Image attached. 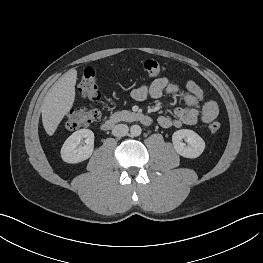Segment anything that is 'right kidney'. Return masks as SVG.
<instances>
[{"mask_svg": "<svg viewBox=\"0 0 263 263\" xmlns=\"http://www.w3.org/2000/svg\"><path fill=\"white\" fill-rule=\"evenodd\" d=\"M85 139L84 146H79ZM94 149V133L89 129H80L70 135L61 148V157L67 163H79L88 159Z\"/></svg>", "mask_w": 263, "mask_h": 263, "instance_id": "ca27d5eb", "label": "right kidney"}]
</instances>
